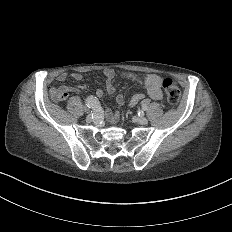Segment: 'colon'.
<instances>
[{"label":"colon","instance_id":"5ec220e1","mask_svg":"<svg viewBox=\"0 0 232 232\" xmlns=\"http://www.w3.org/2000/svg\"><path fill=\"white\" fill-rule=\"evenodd\" d=\"M159 86L166 91L164 93L165 101H169L170 103H179L180 99L178 95H180L179 86H172V81L168 77H163L159 81ZM66 98H71V93H61L56 92L51 97V102L56 107H61L65 104Z\"/></svg>","mask_w":232,"mask_h":232}]
</instances>
